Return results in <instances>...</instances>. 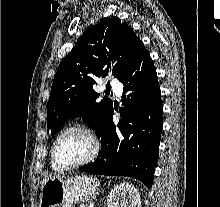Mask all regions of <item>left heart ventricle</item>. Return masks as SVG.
Masks as SVG:
<instances>
[{"mask_svg":"<svg viewBox=\"0 0 220 207\" xmlns=\"http://www.w3.org/2000/svg\"><path fill=\"white\" fill-rule=\"evenodd\" d=\"M92 150L90 139L83 133L72 131L65 134L56 147V158L61 165H70L84 160Z\"/></svg>","mask_w":220,"mask_h":207,"instance_id":"obj_1","label":"left heart ventricle"}]
</instances>
